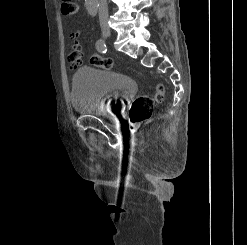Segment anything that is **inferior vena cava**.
<instances>
[{"label":"inferior vena cava","mask_w":247,"mask_h":245,"mask_svg":"<svg viewBox=\"0 0 247 245\" xmlns=\"http://www.w3.org/2000/svg\"><path fill=\"white\" fill-rule=\"evenodd\" d=\"M99 21L102 27H108V6L107 0L99 1Z\"/></svg>","instance_id":"1"}]
</instances>
